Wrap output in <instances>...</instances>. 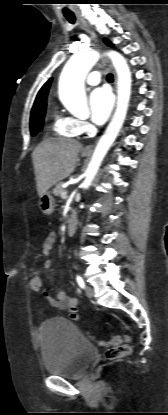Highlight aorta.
Instances as JSON below:
<instances>
[{
    "label": "aorta",
    "instance_id": "762f6f07",
    "mask_svg": "<svg viewBox=\"0 0 168 415\" xmlns=\"http://www.w3.org/2000/svg\"><path fill=\"white\" fill-rule=\"evenodd\" d=\"M107 56L117 72V105L114 116L92 155L82 183L83 189H88L91 185L103 158L122 128L130 100L131 72L125 58L116 51H109ZM98 59L99 53L94 50L79 52L64 66L59 80V98L68 111L77 113L87 109L84 80Z\"/></svg>",
    "mask_w": 168,
    "mask_h": 415
}]
</instances>
